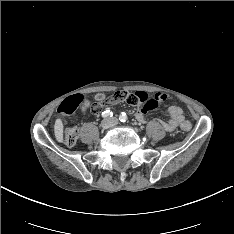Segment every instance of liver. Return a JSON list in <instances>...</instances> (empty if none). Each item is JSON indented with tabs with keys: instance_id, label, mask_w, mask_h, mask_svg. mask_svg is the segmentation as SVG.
I'll list each match as a JSON object with an SVG mask.
<instances>
[{
	"instance_id": "obj_1",
	"label": "liver",
	"mask_w": 234,
	"mask_h": 234,
	"mask_svg": "<svg viewBox=\"0 0 234 234\" xmlns=\"http://www.w3.org/2000/svg\"><path fill=\"white\" fill-rule=\"evenodd\" d=\"M54 134L58 142H63V123L59 118L55 121Z\"/></svg>"
}]
</instances>
